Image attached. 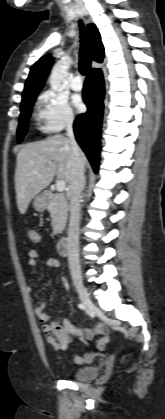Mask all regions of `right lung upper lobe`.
Segmentation results:
<instances>
[{
  "label": "right lung upper lobe",
  "instance_id": "obj_1",
  "mask_svg": "<svg viewBox=\"0 0 165 419\" xmlns=\"http://www.w3.org/2000/svg\"><path fill=\"white\" fill-rule=\"evenodd\" d=\"M88 35L91 45L92 58L97 62H102L104 57V47L97 27L94 24L88 25ZM53 63L51 55L40 58L31 68L29 77L26 80L22 95V101L37 95L44 86L46 77ZM98 69H92L96 71Z\"/></svg>",
  "mask_w": 165,
  "mask_h": 419
}]
</instances>
